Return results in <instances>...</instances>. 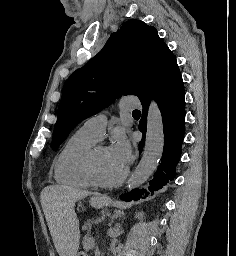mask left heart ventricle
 Returning <instances> with one entry per match:
<instances>
[{
  "label": "left heart ventricle",
  "instance_id": "1",
  "mask_svg": "<svg viewBox=\"0 0 236 256\" xmlns=\"http://www.w3.org/2000/svg\"><path fill=\"white\" fill-rule=\"evenodd\" d=\"M100 174L105 179H113L121 174L122 168L116 167L110 160L108 149L100 147L94 153Z\"/></svg>",
  "mask_w": 236,
  "mask_h": 256
}]
</instances>
